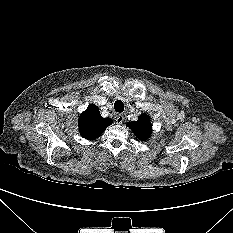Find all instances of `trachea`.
<instances>
[{
  "label": "trachea",
  "instance_id": "trachea-1",
  "mask_svg": "<svg viewBox=\"0 0 233 233\" xmlns=\"http://www.w3.org/2000/svg\"><path fill=\"white\" fill-rule=\"evenodd\" d=\"M114 109H115L116 112H119V113L123 112L124 111V104H123V102L120 101V100L115 101V103H114Z\"/></svg>",
  "mask_w": 233,
  "mask_h": 233
}]
</instances>
